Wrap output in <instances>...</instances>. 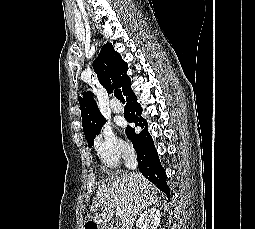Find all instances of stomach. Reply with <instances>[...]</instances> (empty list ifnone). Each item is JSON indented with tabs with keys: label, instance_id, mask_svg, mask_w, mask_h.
Listing matches in <instances>:
<instances>
[{
	"label": "stomach",
	"instance_id": "0dacf381",
	"mask_svg": "<svg viewBox=\"0 0 255 229\" xmlns=\"http://www.w3.org/2000/svg\"><path fill=\"white\" fill-rule=\"evenodd\" d=\"M92 222L95 225V229H103L99 224L95 223L94 221Z\"/></svg>",
	"mask_w": 255,
	"mask_h": 229
}]
</instances>
